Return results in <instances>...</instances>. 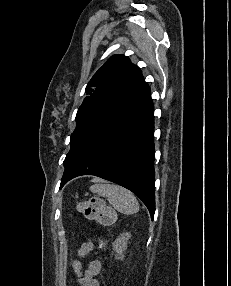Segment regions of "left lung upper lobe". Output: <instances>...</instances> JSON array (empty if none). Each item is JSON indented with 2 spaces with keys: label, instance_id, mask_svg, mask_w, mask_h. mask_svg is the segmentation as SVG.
<instances>
[{
  "label": "left lung upper lobe",
  "instance_id": "obj_1",
  "mask_svg": "<svg viewBox=\"0 0 231 286\" xmlns=\"http://www.w3.org/2000/svg\"><path fill=\"white\" fill-rule=\"evenodd\" d=\"M144 83L140 69L125 56L114 55L99 68L85 89L88 96L78 109L64 165L85 134Z\"/></svg>",
  "mask_w": 231,
  "mask_h": 286
}]
</instances>
